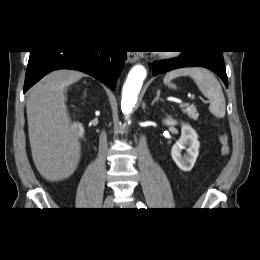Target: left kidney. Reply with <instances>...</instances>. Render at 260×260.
<instances>
[{
	"label": "left kidney",
	"instance_id": "5707ae66",
	"mask_svg": "<svg viewBox=\"0 0 260 260\" xmlns=\"http://www.w3.org/2000/svg\"><path fill=\"white\" fill-rule=\"evenodd\" d=\"M163 122L167 126L177 124V121L173 120L171 117H168ZM199 146L200 143L196 131L188 124H181V137L178 142L172 146L171 156L182 171H191L199 154ZM184 149L187 153L182 156L181 152Z\"/></svg>",
	"mask_w": 260,
	"mask_h": 260
}]
</instances>
